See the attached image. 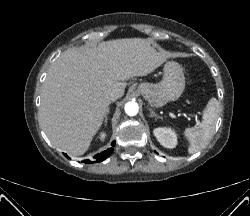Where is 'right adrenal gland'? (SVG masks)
Masks as SVG:
<instances>
[{
  "mask_svg": "<svg viewBox=\"0 0 250 216\" xmlns=\"http://www.w3.org/2000/svg\"><path fill=\"white\" fill-rule=\"evenodd\" d=\"M109 113V108L107 109V113L105 114V118H104V122L105 123H107V120H108V118H107V114Z\"/></svg>",
  "mask_w": 250,
  "mask_h": 216,
  "instance_id": "right-adrenal-gland-1",
  "label": "right adrenal gland"
}]
</instances>
